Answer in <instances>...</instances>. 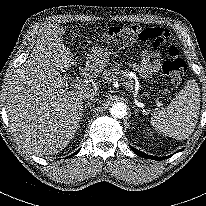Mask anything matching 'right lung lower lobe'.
<instances>
[{
  "label": "right lung lower lobe",
  "instance_id": "obj_1",
  "mask_svg": "<svg viewBox=\"0 0 206 206\" xmlns=\"http://www.w3.org/2000/svg\"><path fill=\"white\" fill-rule=\"evenodd\" d=\"M79 152V150H77L74 154H72L71 156H74L75 154H77ZM71 156H68L67 158L71 157Z\"/></svg>",
  "mask_w": 206,
  "mask_h": 206
}]
</instances>
